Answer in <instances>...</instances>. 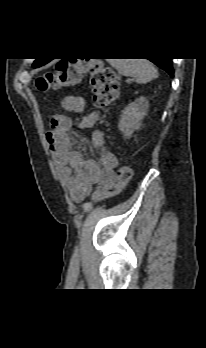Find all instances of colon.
I'll return each mask as SVG.
<instances>
[{"label":"colon","instance_id":"1","mask_svg":"<svg viewBox=\"0 0 206 348\" xmlns=\"http://www.w3.org/2000/svg\"><path fill=\"white\" fill-rule=\"evenodd\" d=\"M90 76V84L94 102L98 106H106L115 101L119 94V81L115 71L96 58L61 59L54 71L40 75L36 85L39 91L59 90L77 83L83 75ZM131 177V169L120 166L116 172V182L112 185H101L93 194V199L103 200L119 194Z\"/></svg>","mask_w":206,"mask_h":348}]
</instances>
